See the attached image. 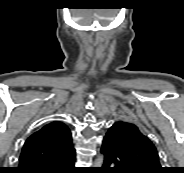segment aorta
Here are the masks:
<instances>
[{
  "label": "aorta",
  "mask_w": 184,
  "mask_h": 173,
  "mask_svg": "<svg viewBox=\"0 0 184 173\" xmlns=\"http://www.w3.org/2000/svg\"><path fill=\"white\" fill-rule=\"evenodd\" d=\"M103 161H104V157H103V155H100V156L95 160V165H96L97 167H100V166H102Z\"/></svg>",
  "instance_id": "obj_1"
}]
</instances>
